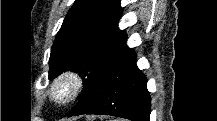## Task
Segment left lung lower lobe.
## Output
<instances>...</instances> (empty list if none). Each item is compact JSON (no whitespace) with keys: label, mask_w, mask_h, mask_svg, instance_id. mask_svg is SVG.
<instances>
[{"label":"left lung lower lobe","mask_w":217,"mask_h":121,"mask_svg":"<svg viewBox=\"0 0 217 121\" xmlns=\"http://www.w3.org/2000/svg\"><path fill=\"white\" fill-rule=\"evenodd\" d=\"M126 38L89 83L67 116L104 114L132 121H149L151 101L147 80L138 69L136 54L126 45Z\"/></svg>","instance_id":"0a47b994"}]
</instances>
